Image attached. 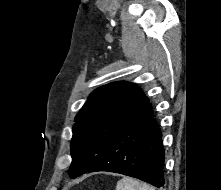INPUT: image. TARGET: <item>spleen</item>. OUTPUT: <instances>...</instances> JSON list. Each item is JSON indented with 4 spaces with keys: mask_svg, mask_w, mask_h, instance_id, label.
I'll list each match as a JSON object with an SVG mask.
<instances>
[{
    "mask_svg": "<svg viewBox=\"0 0 221 190\" xmlns=\"http://www.w3.org/2000/svg\"><path fill=\"white\" fill-rule=\"evenodd\" d=\"M116 190H154V188L131 178H123L118 181Z\"/></svg>",
    "mask_w": 221,
    "mask_h": 190,
    "instance_id": "spleen-1",
    "label": "spleen"
}]
</instances>
